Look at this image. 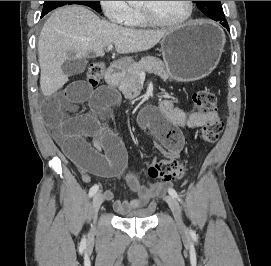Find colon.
<instances>
[{"instance_id": "colon-1", "label": "colon", "mask_w": 271, "mask_h": 266, "mask_svg": "<svg viewBox=\"0 0 271 266\" xmlns=\"http://www.w3.org/2000/svg\"><path fill=\"white\" fill-rule=\"evenodd\" d=\"M106 65L102 61L93 62L87 70V82L91 86H97L103 77ZM193 100L200 112L205 116V122L200 130V137L206 144L218 140L223 131L224 123L218 116L217 99L208 88H202L193 95ZM153 179H161L166 182L175 181L185 174L184 165L177 160H162L152 165L148 170Z\"/></svg>"}]
</instances>
